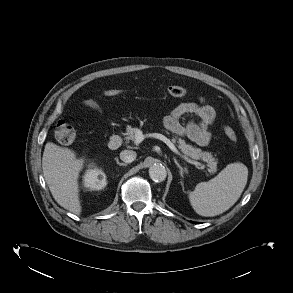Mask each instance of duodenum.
Masks as SVG:
<instances>
[{"label":"duodenum","mask_w":293,"mask_h":293,"mask_svg":"<svg viewBox=\"0 0 293 293\" xmlns=\"http://www.w3.org/2000/svg\"><path fill=\"white\" fill-rule=\"evenodd\" d=\"M122 139L118 135H113L107 140V147L111 150H116L121 146Z\"/></svg>","instance_id":"obj_1"}]
</instances>
